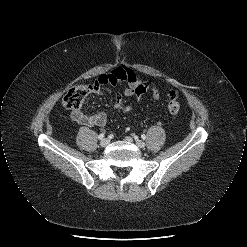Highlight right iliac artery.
I'll return each instance as SVG.
<instances>
[{"label": "right iliac artery", "instance_id": "obj_1", "mask_svg": "<svg viewBox=\"0 0 247 247\" xmlns=\"http://www.w3.org/2000/svg\"><path fill=\"white\" fill-rule=\"evenodd\" d=\"M104 136H105V133H101V134H99L98 139L101 140L104 138Z\"/></svg>", "mask_w": 247, "mask_h": 247}]
</instances>
